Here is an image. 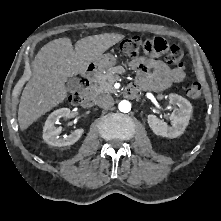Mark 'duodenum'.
<instances>
[{"mask_svg": "<svg viewBox=\"0 0 221 221\" xmlns=\"http://www.w3.org/2000/svg\"><path fill=\"white\" fill-rule=\"evenodd\" d=\"M97 72H98L97 67L94 64H90L84 73L82 81L83 83L82 104L86 107L91 106L93 102L90 86ZM136 93L137 90L134 87H128L125 91V94L130 97L135 96Z\"/></svg>", "mask_w": 221, "mask_h": 221, "instance_id": "duodenum-1", "label": "duodenum"}]
</instances>
